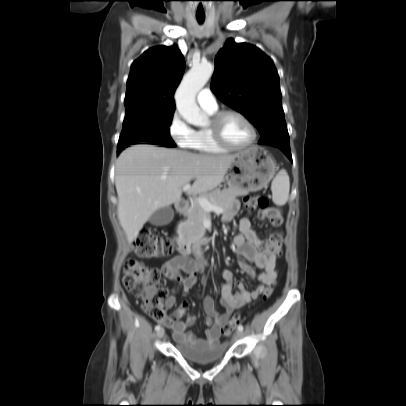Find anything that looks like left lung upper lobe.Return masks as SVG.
<instances>
[{
    "label": "left lung upper lobe",
    "mask_w": 406,
    "mask_h": 406,
    "mask_svg": "<svg viewBox=\"0 0 406 406\" xmlns=\"http://www.w3.org/2000/svg\"><path fill=\"white\" fill-rule=\"evenodd\" d=\"M211 90L258 129L261 145L289 146L279 76L259 48L228 40L215 59Z\"/></svg>",
    "instance_id": "left-lung-upper-lobe-1"
}]
</instances>
